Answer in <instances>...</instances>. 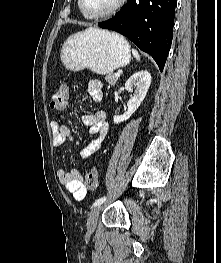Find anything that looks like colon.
Segmentation results:
<instances>
[{"instance_id":"obj_1","label":"colon","mask_w":221,"mask_h":263,"mask_svg":"<svg viewBox=\"0 0 221 263\" xmlns=\"http://www.w3.org/2000/svg\"><path fill=\"white\" fill-rule=\"evenodd\" d=\"M69 98L68 87L64 84L58 87L51 97L50 106L53 110L64 111L67 107ZM84 185L88 190H95L98 186V171L91 168L85 175Z\"/></svg>"}]
</instances>
